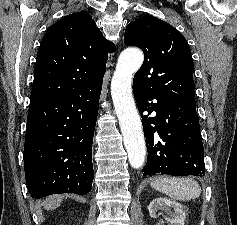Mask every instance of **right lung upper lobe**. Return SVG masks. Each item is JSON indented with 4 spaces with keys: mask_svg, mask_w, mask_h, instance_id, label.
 Returning <instances> with one entry per match:
<instances>
[{
    "mask_svg": "<svg viewBox=\"0 0 237 225\" xmlns=\"http://www.w3.org/2000/svg\"><path fill=\"white\" fill-rule=\"evenodd\" d=\"M114 50L90 14L72 13L57 21L37 54L30 103L60 99L103 81L108 52Z\"/></svg>",
    "mask_w": 237,
    "mask_h": 225,
    "instance_id": "1",
    "label": "right lung upper lobe"
}]
</instances>
